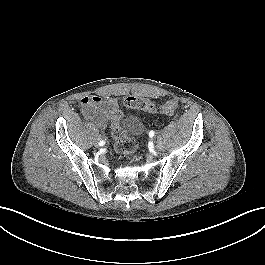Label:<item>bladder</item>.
<instances>
[{
  "mask_svg": "<svg viewBox=\"0 0 265 265\" xmlns=\"http://www.w3.org/2000/svg\"><path fill=\"white\" fill-rule=\"evenodd\" d=\"M113 123L120 125L129 137L139 136L144 131L142 120L133 115L119 118L114 114Z\"/></svg>",
  "mask_w": 265,
  "mask_h": 265,
  "instance_id": "1",
  "label": "bladder"
}]
</instances>
